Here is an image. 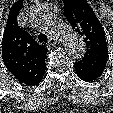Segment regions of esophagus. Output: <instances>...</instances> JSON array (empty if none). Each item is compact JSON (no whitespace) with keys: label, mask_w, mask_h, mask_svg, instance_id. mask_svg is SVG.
Listing matches in <instances>:
<instances>
[{"label":"esophagus","mask_w":113,"mask_h":113,"mask_svg":"<svg viewBox=\"0 0 113 113\" xmlns=\"http://www.w3.org/2000/svg\"><path fill=\"white\" fill-rule=\"evenodd\" d=\"M57 42H58L57 39L51 37L48 41V45L55 46L57 44Z\"/></svg>","instance_id":"obj_1"}]
</instances>
